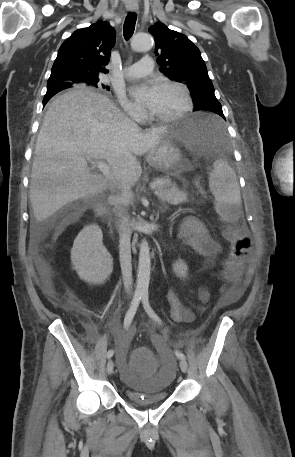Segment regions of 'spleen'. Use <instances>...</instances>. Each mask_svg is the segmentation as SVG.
Listing matches in <instances>:
<instances>
[{
	"instance_id": "1",
	"label": "spleen",
	"mask_w": 295,
	"mask_h": 457,
	"mask_svg": "<svg viewBox=\"0 0 295 457\" xmlns=\"http://www.w3.org/2000/svg\"><path fill=\"white\" fill-rule=\"evenodd\" d=\"M209 187L216 200V212L224 221H233L241 204L240 188L235 172L225 160L214 162Z\"/></svg>"
}]
</instances>
